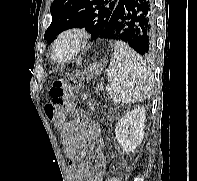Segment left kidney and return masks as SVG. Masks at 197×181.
<instances>
[{
    "label": "left kidney",
    "mask_w": 197,
    "mask_h": 181,
    "mask_svg": "<svg viewBox=\"0 0 197 181\" xmlns=\"http://www.w3.org/2000/svg\"><path fill=\"white\" fill-rule=\"evenodd\" d=\"M145 112L143 106L135 108L127 112L115 126L116 139L126 153L134 152L142 143Z\"/></svg>",
    "instance_id": "obj_1"
}]
</instances>
